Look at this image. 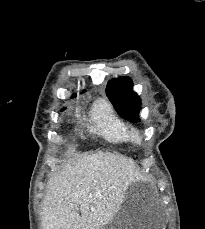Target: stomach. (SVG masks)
<instances>
[{"mask_svg":"<svg viewBox=\"0 0 205 229\" xmlns=\"http://www.w3.org/2000/svg\"><path fill=\"white\" fill-rule=\"evenodd\" d=\"M167 214L155 197L128 194L114 218L101 229H165Z\"/></svg>","mask_w":205,"mask_h":229,"instance_id":"stomach-1","label":"stomach"}]
</instances>
